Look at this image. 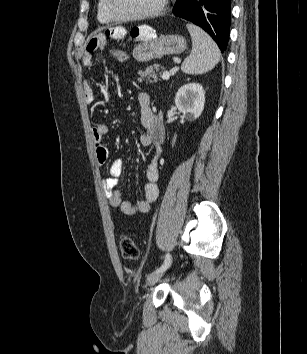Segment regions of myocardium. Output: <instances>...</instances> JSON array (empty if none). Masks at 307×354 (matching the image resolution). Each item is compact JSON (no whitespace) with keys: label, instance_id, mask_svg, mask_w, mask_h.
Masks as SVG:
<instances>
[{"label":"myocardium","instance_id":"1","mask_svg":"<svg viewBox=\"0 0 307 354\" xmlns=\"http://www.w3.org/2000/svg\"><path fill=\"white\" fill-rule=\"evenodd\" d=\"M167 3L168 0H160L158 5L150 11L143 12L140 14L122 15L115 10L113 0H105L107 12L114 20L117 21H137L157 17L163 13L167 6Z\"/></svg>","mask_w":307,"mask_h":354}]
</instances>
